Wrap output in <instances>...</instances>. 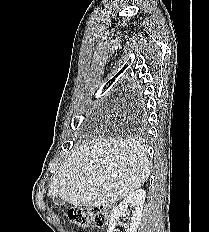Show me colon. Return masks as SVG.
Here are the masks:
<instances>
[{"label": "colon", "mask_w": 209, "mask_h": 232, "mask_svg": "<svg viewBox=\"0 0 209 232\" xmlns=\"http://www.w3.org/2000/svg\"><path fill=\"white\" fill-rule=\"evenodd\" d=\"M69 219L82 229L91 225L101 227L106 222V209L103 207L73 208L68 212Z\"/></svg>", "instance_id": "5ec220e1"}]
</instances>
